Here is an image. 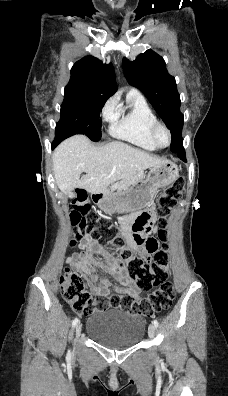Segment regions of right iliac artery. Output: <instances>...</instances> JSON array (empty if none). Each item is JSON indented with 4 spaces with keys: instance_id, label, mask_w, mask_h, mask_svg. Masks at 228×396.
<instances>
[{
    "instance_id": "1",
    "label": "right iliac artery",
    "mask_w": 228,
    "mask_h": 396,
    "mask_svg": "<svg viewBox=\"0 0 228 396\" xmlns=\"http://www.w3.org/2000/svg\"><path fill=\"white\" fill-rule=\"evenodd\" d=\"M78 322H79V319L75 318L72 322L73 327H75L78 324ZM70 357H71V353H70V351H68L67 358H70Z\"/></svg>"
}]
</instances>
